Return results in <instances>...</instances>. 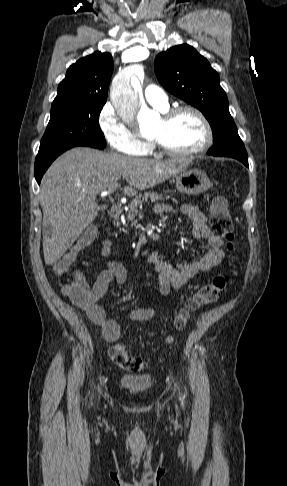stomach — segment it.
<instances>
[{"instance_id":"obj_1","label":"stomach","mask_w":287,"mask_h":486,"mask_svg":"<svg viewBox=\"0 0 287 486\" xmlns=\"http://www.w3.org/2000/svg\"><path fill=\"white\" fill-rule=\"evenodd\" d=\"M195 163V159L190 160L187 167L175 177L176 188L182 194L197 195L212 186L206 172L194 167Z\"/></svg>"}]
</instances>
